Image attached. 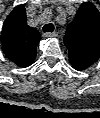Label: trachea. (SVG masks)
<instances>
[{
  "instance_id": "1",
  "label": "trachea",
  "mask_w": 100,
  "mask_h": 118,
  "mask_svg": "<svg viewBox=\"0 0 100 118\" xmlns=\"http://www.w3.org/2000/svg\"><path fill=\"white\" fill-rule=\"evenodd\" d=\"M53 30H54V25L52 23L43 26L44 32H53Z\"/></svg>"
}]
</instances>
